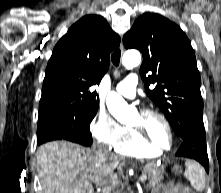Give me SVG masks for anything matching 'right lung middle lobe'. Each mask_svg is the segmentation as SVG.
<instances>
[{
	"mask_svg": "<svg viewBox=\"0 0 221 193\" xmlns=\"http://www.w3.org/2000/svg\"><path fill=\"white\" fill-rule=\"evenodd\" d=\"M97 109L98 106H53L39 109L38 145L51 140L66 139L89 146L92 141L90 123Z\"/></svg>",
	"mask_w": 221,
	"mask_h": 193,
	"instance_id": "right-lung-middle-lobe-1",
	"label": "right lung middle lobe"
}]
</instances>
